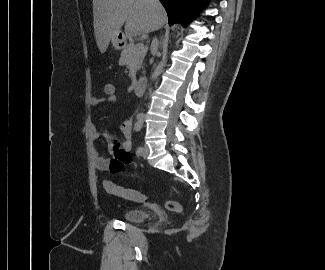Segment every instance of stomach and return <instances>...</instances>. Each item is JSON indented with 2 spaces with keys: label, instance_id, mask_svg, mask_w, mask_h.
I'll use <instances>...</instances> for the list:
<instances>
[{
  "label": "stomach",
  "instance_id": "1",
  "mask_svg": "<svg viewBox=\"0 0 325 270\" xmlns=\"http://www.w3.org/2000/svg\"><path fill=\"white\" fill-rule=\"evenodd\" d=\"M126 39L127 37L122 34L118 33L113 39H112V45L115 49H123L126 46Z\"/></svg>",
  "mask_w": 325,
  "mask_h": 270
}]
</instances>
